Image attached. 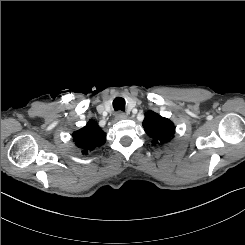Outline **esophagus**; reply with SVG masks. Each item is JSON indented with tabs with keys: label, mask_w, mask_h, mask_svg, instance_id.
I'll list each match as a JSON object with an SVG mask.
<instances>
[{
	"label": "esophagus",
	"mask_w": 245,
	"mask_h": 245,
	"mask_svg": "<svg viewBox=\"0 0 245 245\" xmlns=\"http://www.w3.org/2000/svg\"><path fill=\"white\" fill-rule=\"evenodd\" d=\"M126 117H127L126 114L124 112H122V111H119V112L116 113V118L118 120L125 119Z\"/></svg>",
	"instance_id": "34e87169"
}]
</instances>
